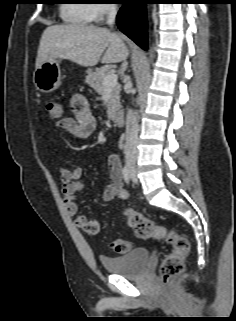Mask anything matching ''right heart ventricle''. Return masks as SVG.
<instances>
[{"label": "right heart ventricle", "instance_id": "1", "mask_svg": "<svg viewBox=\"0 0 236 321\" xmlns=\"http://www.w3.org/2000/svg\"><path fill=\"white\" fill-rule=\"evenodd\" d=\"M88 0H71L61 6V17L64 22L74 25H86L91 21V5L86 3Z\"/></svg>", "mask_w": 236, "mask_h": 321}]
</instances>
